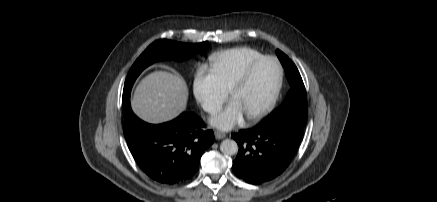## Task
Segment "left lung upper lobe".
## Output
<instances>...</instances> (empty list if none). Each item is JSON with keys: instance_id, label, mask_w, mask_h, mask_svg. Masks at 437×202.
I'll return each mask as SVG.
<instances>
[{"instance_id": "left-lung-upper-lobe-1", "label": "left lung upper lobe", "mask_w": 437, "mask_h": 202, "mask_svg": "<svg viewBox=\"0 0 437 202\" xmlns=\"http://www.w3.org/2000/svg\"><path fill=\"white\" fill-rule=\"evenodd\" d=\"M276 54L284 67L290 90L282 105L262 123H269L280 119H289L304 125L307 114L306 90L301 75L295 64L280 50Z\"/></svg>"}]
</instances>
